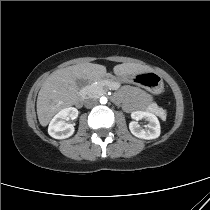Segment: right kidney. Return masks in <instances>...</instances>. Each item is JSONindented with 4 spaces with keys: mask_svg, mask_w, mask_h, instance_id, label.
<instances>
[{
    "mask_svg": "<svg viewBox=\"0 0 210 210\" xmlns=\"http://www.w3.org/2000/svg\"><path fill=\"white\" fill-rule=\"evenodd\" d=\"M78 110L74 107H69L59 111L51 120L48 133L55 139H65L73 135L75 128L72 124L67 123L66 119H76Z\"/></svg>",
    "mask_w": 210,
    "mask_h": 210,
    "instance_id": "right-kidney-1",
    "label": "right kidney"
}]
</instances>
